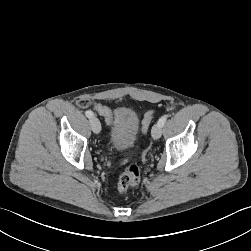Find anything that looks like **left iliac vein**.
<instances>
[{
	"label": "left iliac vein",
	"instance_id": "4c4485c4",
	"mask_svg": "<svg viewBox=\"0 0 251 251\" xmlns=\"http://www.w3.org/2000/svg\"><path fill=\"white\" fill-rule=\"evenodd\" d=\"M151 134L154 139H159L162 134V126L158 123L155 124L152 128Z\"/></svg>",
	"mask_w": 251,
	"mask_h": 251
}]
</instances>
